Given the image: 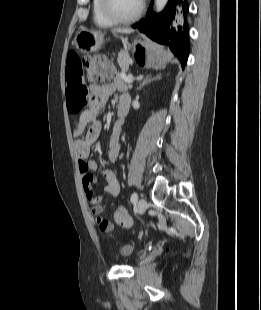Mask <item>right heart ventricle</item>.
<instances>
[{"label": "right heart ventricle", "mask_w": 261, "mask_h": 310, "mask_svg": "<svg viewBox=\"0 0 261 310\" xmlns=\"http://www.w3.org/2000/svg\"><path fill=\"white\" fill-rule=\"evenodd\" d=\"M92 17L95 25L100 28H111L115 25V23L107 19L102 14L100 9V0H93L92 2Z\"/></svg>", "instance_id": "right-heart-ventricle-1"}]
</instances>
